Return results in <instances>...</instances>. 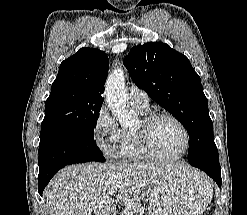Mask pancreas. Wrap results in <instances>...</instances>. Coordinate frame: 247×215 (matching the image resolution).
Instances as JSON below:
<instances>
[{
    "label": "pancreas",
    "mask_w": 247,
    "mask_h": 215,
    "mask_svg": "<svg viewBox=\"0 0 247 215\" xmlns=\"http://www.w3.org/2000/svg\"><path fill=\"white\" fill-rule=\"evenodd\" d=\"M145 208L140 204H133L125 208L121 215H143Z\"/></svg>",
    "instance_id": "1"
}]
</instances>
